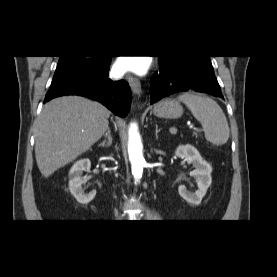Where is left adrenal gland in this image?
I'll use <instances>...</instances> for the list:
<instances>
[{"label":"left adrenal gland","mask_w":277,"mask_h":277,"mask_svg":"<svg viewBox=\"0 0 277 277\" xmlns=\"http://www.w3.org/2000/svg\"><path fill=\"white\" fill-rule=\"evenodd\" d=\"M161 131V129H158V126L156 125V131H155V136L156 139H158V133Z\"/></svg>","instance_id":"left-adrenal-gland-1"}]
</instances>
